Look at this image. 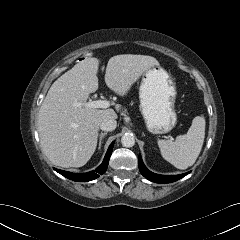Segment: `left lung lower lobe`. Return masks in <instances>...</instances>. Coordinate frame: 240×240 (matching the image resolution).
Listing matches in <instances>:
<instances>
[{
    "label": "left lung lower lobe",
    "instance_id": "0a47b994",
    "mask_svg": "<svg viewBox=\"0 0 240 240\" xmlns=\"http://www.w3.org/2000/svg\"><path fill=\"white\" fill-rule=\"evenodd\" d=\"M138 166H139V170H140L141 174L146 179H148L152 182H156V183L174 182V181H177V180L183 178L184 176H186L187 174L190 173V172H187V173L180 174V175H158V174L152 173L145 167L140 155L138 157Z\"/></svg>",
    "mask_w": 240,
    "mask_h": 240
}]
</instances>
